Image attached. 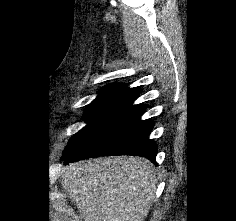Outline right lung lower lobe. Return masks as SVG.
Instances as JSON below:
<instances>
[{"label":"right lung lower lobe","instance_id":"obj_1","mask_svg":"<svg viewBox=\"0 0 236 221\" xmlns=\"http://www.w3.org/2000/svg\"><path fill=\"white\" fill-rule=\"evenodd\" d=\"M138 96L110 117L71 154L62 158L64 163L111 155H135L155 161L157 146L148 138L154 124L150 120H141L146 105H132Z\"/></svg>","mask_w":236,"mask_h":221}]
</instances>
